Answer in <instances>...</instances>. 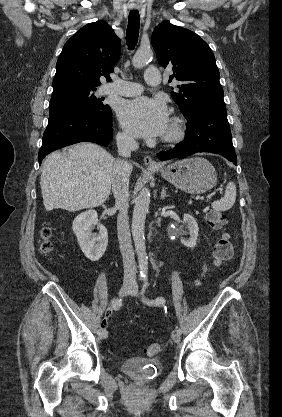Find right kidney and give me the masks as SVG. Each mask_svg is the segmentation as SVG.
Instances as JSON below:
<instances>
[{"mask_svg":"<svg viewBox=\"0 0 282 417\" xmlns=\"http://www.w3.org/2000/svg\"><path fill=\"white\" fill-rule=\"evenodd\" d=\"M95 225L99 227V235L92 233ZM72 229L85 257L90 261H99L108 245V233L106 227L98 223L97 211L89 209L77 215L72 223Z\"/></svg>","mask_w":282,"mask_h":417,"instance_id":"right-kidney-1","label":"right kidney"}]
</instances>
